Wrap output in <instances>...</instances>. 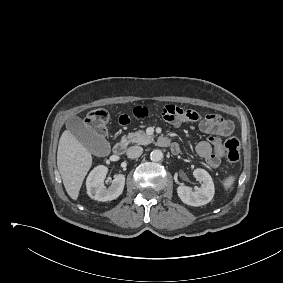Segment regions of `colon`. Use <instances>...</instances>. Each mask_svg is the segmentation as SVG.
I'll list each match as a JSON object with an SVG mask.
<instances>
[{
    "label": "colon",
    "instance_id": "colon-1",
    "mask_svg": "<svg viewBox=\"0 0 283 283\" xmlns=\"http://www.w3.org/2000/svg\"><path fill=\"white\" fill-rule=\"evenodd\" d=\"M87 124L101 135L106 134L109 123L108 113L103 109H95L88 113ZM228 161L234 165L240 159V143L237 138L229 137L224 142Z\"/></svg>",
    "mask_w": 283,
    "mask_h": 283
}]
</instances>
